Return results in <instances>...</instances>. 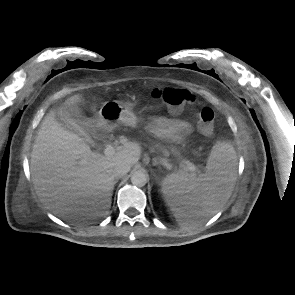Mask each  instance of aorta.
Instances as JSON below:
<instances>
[{
  "label": "aorta",
  "instance_id": "aorta-1",
  "mask_svg": "<svg viewBox=\"0 0 295 295\" xmlns=\"http://www.w3.org/2000/svg\"><path fill=\"white\" fill-rule=\"evenodd\" d=\"M148 180V174L144 170H137L131 176V182L133 185L143 187Z\"/></svg>",
  "mask_w": 295,
  "mask_h": 295
}]
</instances>
